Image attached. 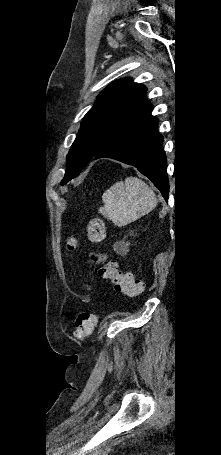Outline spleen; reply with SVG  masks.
<instances>
[{"instance_id":"3e777b00","label":"spleen","mask_w":221,"mask_h":455,"mask_svg":"<svg viewBox=\"0 0 221 455\" xmlns=\"http://www.w3.org/2000/svg\"><path fill=\"white\" fill-rule=\"evenodd\" d=\"M104 207L99 212L122 227L148 214L157 205L155 193L137 177L113 184L102 195Z\"/></svg>"}]
</instances>
